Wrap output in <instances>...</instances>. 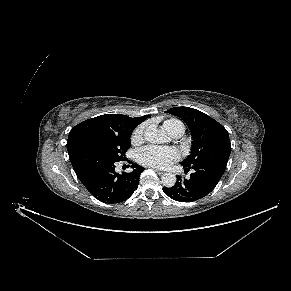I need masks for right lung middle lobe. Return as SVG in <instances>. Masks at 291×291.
I'll list each match as a JSON object with an SVG mask.
<instances>
[{
  "instance_id": "right-lung-middle-lobe-1",
  "label": "right lung middle lobe",
  "mask_w": 291,
  "mask_h": 291,
  "mask_svg": "<svg viewBox=\"0 0 291 291\" xmlns=\"http://www.w3.org/2000/svg\"><path fill=\"white\" fill-rule=\"evenodd\" d=\"M129 132L109 133L92 138L86 144V150L98 152L117 161L126 159L125 153L130 147Z\"/></svg>"
}]
</instances>
